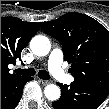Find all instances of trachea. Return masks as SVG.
Masks as SVG:
<instances>
[{
	"instance_id": "trachea-1",
	"label": "trachea",
	"mask_w": 109,
	"mask_h": 109,
	"mask_svg": "<svg viewBox=\"0 0 109 109\" xmlns=\"http://www.w3.org/2000/svg\"><path fill=\"white\" fill-rule=\"evenodd\" d=\"M14 72L17 74L23 75V76H28V77H31L35 74V70L32 68H30V69H15ZM38 76H39V78L44 79V80L50 79V75L46 70H40L38 72Z\"/></svg>"
}]
</instances>
